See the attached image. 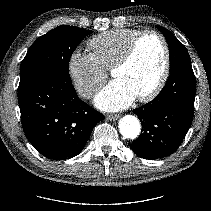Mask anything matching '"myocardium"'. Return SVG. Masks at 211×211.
<instances>
[{
    "label": "myocardium",
    "mask_w": 211,
    "mask_h": 211,
    "mask_svg": "<svg viewBox=\"0 0 211 211\" xmlns=\"http://www.w3.org/2000/svg\"><path fill=\"white\" fill-rule=\"evenodd\" d=\"M148 35H152L156 37L161 42L162 47H163V52H164V60H163V68H162L161 75L157 83L155 84V86L149 92L143 95L137 96V100L140 102H149L153 100L154 98H156L159 95V93L162 91V89L164 88L168 80L169 73H170V50H169V46L165 37L160 32L156 30H152V29L143 30L139 32L130 42L124 54L111 68V74L113 75L117 71L126 67L134 58L140 41Z\"/></svg>",
    "instance_id": "myocardium-1"
}]
</instances>
